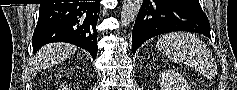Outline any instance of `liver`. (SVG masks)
Here are the masks:
<instances>
[{"mask_svg": "<svg viewBox=\"0 0 237 90\" xmlns=\"http://www.w3.org/2000/svg\"><path fill=\"white\" fill-rule=\"evenodd\" d=\"M76 46L71 44H48L39 50L35 60L38 68H48V66H55L61 60H66L75 54Z\"/></svg>", "mask_w": 237, "mask_h": 90, "instance_id": "1", "label": "liver"}]
</instances>
